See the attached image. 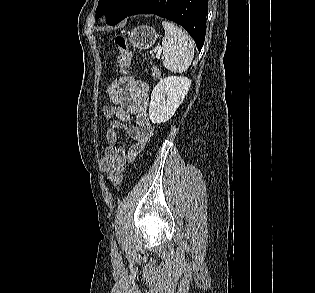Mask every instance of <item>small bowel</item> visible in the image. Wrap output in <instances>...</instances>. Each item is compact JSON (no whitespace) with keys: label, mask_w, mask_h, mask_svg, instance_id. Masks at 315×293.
Segmentation results:
<instances>
[{"label":"small bowel","mask_w":315,"mask_h":293,"mask_svg":"<svg viewBox=\"0 0 315 293\" xmlns=\"http://www.w3.org/2000/svg\"><path fill=\"white\" fill-rule=\"evenodd\" d=\"M119 80V90L108 94L112 105L103 108V114L111 119V124L106 130L108 145L101 164L103 171L110 175L122 172L127 163L134 161L153 133L147 112L148 85L130 76H122ZM132 116L135 124L127 125ZM119 132L133 141L127 149L117 146Z\"/></svg>","instance_id":"small-bowel-1"}]
</instances>
